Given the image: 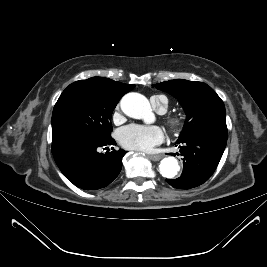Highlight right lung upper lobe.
I'll return each instance as SVG.
<instances>
[{"label": "right lung upper lobe", "mask_w": 267, "mask_h": 267, "mask_svg": "<svg viewBox=\"0 0 267 267\" xmlns=\"http://www.w3.org/2000/svg\"><path fill=\"white\" fill-rule=\"evenodd\" d=\"M88 80L99 83L122 96L125 93L131 91L135 86V85L123 84V83H120V82H117V81H114L108 78H103V77H92Z\"/></svg>", "instance_id": "1"}]
</instances>
